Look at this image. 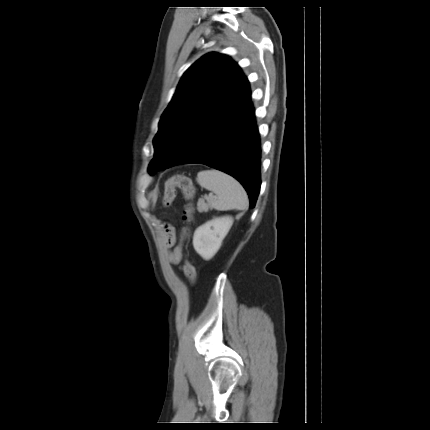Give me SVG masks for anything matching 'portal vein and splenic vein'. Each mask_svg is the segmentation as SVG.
<instances>
[{
	"instance_id": "1",
	"label": "portal vein and splenic vein",
	"mask_w": 430,
	"mask_h": 430,
	"mask_svg": "<svg viewBox=\"0 0 430 430\" xmlns=\"http://www.w3.org/2000/svg\"><path fill=\"white\" fill-rule=\"evenodd\" d=\"M208 196H209V197H214V196H213V194H211V193H210Z\"/></svg>"
}]
</instances>
